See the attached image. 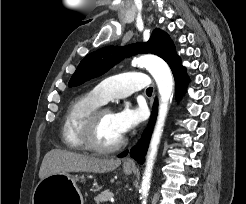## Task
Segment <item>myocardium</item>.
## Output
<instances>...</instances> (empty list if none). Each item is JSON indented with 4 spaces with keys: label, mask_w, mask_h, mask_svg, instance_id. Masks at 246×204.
<instances>
[{
    "label": "myocardium",
    "mask_w": 246,
    "mask_h": 204,
    "mask_svg": "<svg viewBox=\"0 0 246 204\" xmlns=\"http://www.w3.org/2000/svg\"><path fill=\"white\" fill-rule=\"evenodd\" d=\"M107 112L111 113L107 108H98L86 119L81 132L82 141L86 149L101 154H108L121 149L126 144V138L124 136L117 143L109 146H104L97 142L96 132L98 124L102 115Z\"/></svg>",
    "instance_id": "f54148a6"
}]
</instances>
